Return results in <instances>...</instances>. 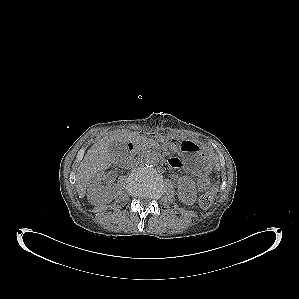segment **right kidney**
<instances>
[{
    "label": "right kidney",
    "mask_w": 299,
    "mask_h": 299,
    "mask_svg": "<svg viewBox=\"0 0 299 299\" xmlns=\"http://www.w3.org/2000/svg\"><path fill=\"white\" fill-rule=\"evenodd\" d=\"M106 179L104 172H99L90 180L87 188V199L91 204L97 205L100 203H109L115 197L113 185L102 186L101 181Z\"/></svg>",
    "instance_id": "right-kidney-1"
}]
</instances>
